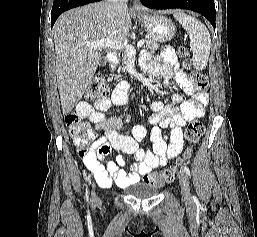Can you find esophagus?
<instances>
[{"label": "esophagus", "instance_id": "34e87169", "mask_svg": "<svg viewBox=\"0 0 257 237\" xmlns=\"http://www.w3.org/2000/svg\"><path fill=\"white\" fill-rule=\"evenodd\" d=\"M132 11L134 12H144L145 11V8L144 6L140 3L139 0H134L133 2V6H132Z\"/></svg>", "mask_w": 257, "mask_h": 237}]
</instances>
